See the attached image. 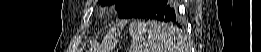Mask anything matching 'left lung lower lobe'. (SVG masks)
<instances>
[{"instance_id": "0a47b994", "label": "left lung lower lobe", "mask_w": 261, "mask_h": 52, "mask_svg": "<svg viewBox=\"0 0 261 52\" xmlns=\"http://www.w3.org/2000/svg\"><path fill=\"white\" fill-rule=\"evenodd\" d=\"M136 18L157 19L171 24V34L176 33L173 25H177V19L174 9H172L167 0H155L150 6L144 9ZM170 32V30H169Z\"/></svg>"}]
</instances>
